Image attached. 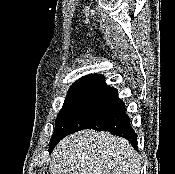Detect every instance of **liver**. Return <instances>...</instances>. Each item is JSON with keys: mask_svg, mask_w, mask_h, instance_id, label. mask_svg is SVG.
Masks as SVG:
<instances>
[{"mask_svg": "<svg viewBox=\"0 0 175 174\" xmlns=\"http://www.w3.org/2000/svg\"><path fill=\"white\" fill-rule=\"evenodd\" d=\"M138 153L124 138L86 129L62 139L51 154V174H140Z\"/></svg>", "mask_w": 175, "mask_h": 174, "instance_id": "1", "label": "liver"}]
</instances>
